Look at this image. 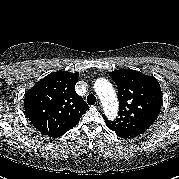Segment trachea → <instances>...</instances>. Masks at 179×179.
Masks as SVG:
<instances>
[{"instance_id": "1", "label": "trachea", "mask_w": 179, "mask_h": 179, "mask_svg": "<svg viewBox=\"0 0 179 179\" xmlns=\"http://www.w3.org/2000/svg\"><path fill=\"white\" fill-rule=\"evenodd\" d=\"M96 102V97L93 94L87 96V103L89 105H94Z\"/></svg>"}]
</instances>
